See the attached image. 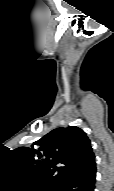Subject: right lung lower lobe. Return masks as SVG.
<instances>
[{"instance_id": "98d812e1", "label": "right lung lower lobe", "mask_w": 114, "mask_h": 191, "mask_svg": "<svg viewBox=\"0 0 114 191\" xmlns=\"http://www.w3.org/2000/svg\"><path fill=\"white\" fill-rule=\"evenodd\" d=\"M96 169L72 178L58 187L57 191H94Z\"/></svg>"}]
</instances>
